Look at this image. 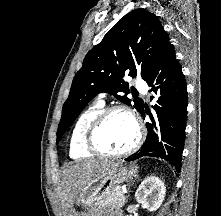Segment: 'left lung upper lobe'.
I'll list each match as a JSON object with an SVG mask.
<instances>
[{
	"label": "left lung upper lobe",
	"instance_id": "1",
	"mask_svg": "<svg viewBox=\"0 0 221 216\" xmlns=\"http://www.w3.org/2000/svg\"><path fill=\"white\" fill-rule=\"evenodd\" d=\"M168 42V35L155 14L139 8L123 16L87 54L76 73L63 105L57 143L87 103L100 92L112 94L127 105L133 102L140 112L144 103L140 98L133 101L127 98L130 90L123 77L141 74L146 80Z\"/></svg>",
	"mask_w": 221,
	"mask_h": 216
}]
</instances>
